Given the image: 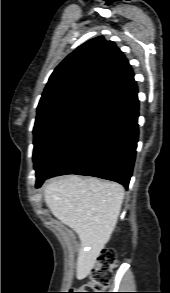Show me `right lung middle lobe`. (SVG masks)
<instances>
[{
    "instance_id": "dd1d6c3e",
    "label": "right lung middle lobe",
    "mask_w": 170,
    "mask_h": 293,
    "mask_svg": "<svg viewBox=\"0 0 170 293\" xmlns=\"http://www.w3.org/2000/svg\"><path fill=\"white\" fill-rule=\"evenodd\" d=\"M106 109L100 105L78 104L35 124L33 162L36 184L51 174L57 163L86 135Z\"/></svg>"
}]
</instances>
